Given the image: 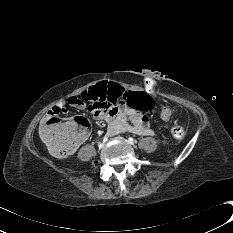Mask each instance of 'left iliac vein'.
Here are the masks:
<instances>
[{
    "mask_svg": "<svg viewBox=\"0 0 233 233\" xmlns=\"http://www.w3.org/2000/svg\"><path fill=\"white\" fill-rule=\"evenodd\" d=\"M117 139L122 140V141H126V142H127V140H126V139H124V138H122V137H118Z\"/></svg>",
    "mask_w": 233,
    "mask_h": 233,
    "instance_id": "obj_1",
    "label": "left iliac vein"
}]
</instances>
